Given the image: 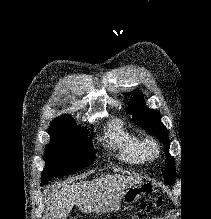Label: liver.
Returning a JSON list of instances; mask_svg holds the SVG:
<instances>
[{"instance_id": "obj_1", "label": "liver", "mask_w": 211, "mask_h": 219, "mask_svg": "<svg viewBox=\"0 0 211 219\" xmlns=\"http://www.w3.org/2000/svg\"><path fill=\"white\" fill-rule=\"evenodd\" d=\"M138 183L135 177L115 174L72 185L54 184L48 189V211L51 219H66L74 205L85 213L113 212L124 191Z\"/></svg>"}]
</instances>
